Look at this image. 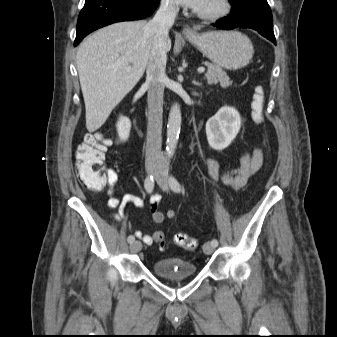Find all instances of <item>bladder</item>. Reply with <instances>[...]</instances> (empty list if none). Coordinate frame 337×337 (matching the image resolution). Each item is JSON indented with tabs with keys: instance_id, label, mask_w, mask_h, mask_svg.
Returning <instances> with one entry per match:
<instances>
[{
	"instance_id": "obj_1",
	"label": "bladder",
	"mask_w": 337,
	"mask_h": 337,
	"mask_svg": "<svg viewBox=\"0 0 337 337\" xmlns=\"http://www.w3.org/2000/svg\"><path fill=\"white\" fill-rule=\"evenodd\" d=\"M153 272L162 278L190 277L197 273V266L181 257H166L156 260Z\"/></svg>"
}]
</instances>
